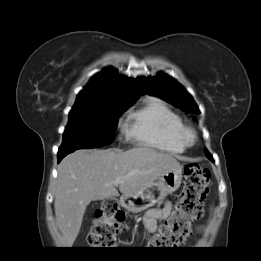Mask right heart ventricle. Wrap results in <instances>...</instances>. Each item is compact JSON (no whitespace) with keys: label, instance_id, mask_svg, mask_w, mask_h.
Instances as JSON below:
<instances>
[{"label":"right heart ventricle","instance_id":"obj_1","mask_svg":"<svg viewBox=\"0 0 261 261\" xmlns=\"http://www.w3.org/2000/svg\"><path fill=\"white\" fill-rule=\"evenodd\" d=\"M128 134L138 144L179 154L185 150L181 139V118L162 100L149 98L130 110Z\"/></svg>","mask_w":261,"mask_h":261}]
</instances>
